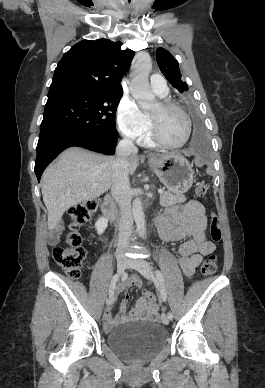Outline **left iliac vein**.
<instances>
[{
	"mask_svg": "<svg viewBox=\"0 0 265 388\" xmlns=\"http://www.w3.org/2000/svg\"><path fill=\"white\" fill-rule=\"evenodd\" d=\"M128 267L137 270L140 274H142L150 281L154 283L156 282V277L152 271V267L149 265L148 262L144 260L128 261ZM161 320L164 325H168L170 321L168 315L166 314H162Z\"/></svg>",
	"mask_w": 265,
	"mask_h": 388,
	"instance_id": "4c4485c4",
	"label": "left iliac vein"
}]
</instances>
